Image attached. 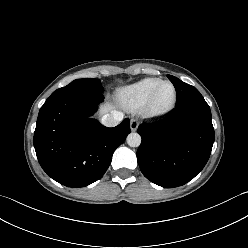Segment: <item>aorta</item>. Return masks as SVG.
Instances as JSON below:
<instances>
[{"label":"aorta","mask_w":248,"mask_h":248,"mask_svg":"<svg viewBox=\"0 0 248 248\" xmlns=\"http://www.w3.org/2000/svg\"><path fill=\"white\" fill-rule=\"evenodd\" d=\"M126 140L131 147H138L141 144V136L138 133H130Z\"/></svg>","instance_id":"1"}]
</instances>
